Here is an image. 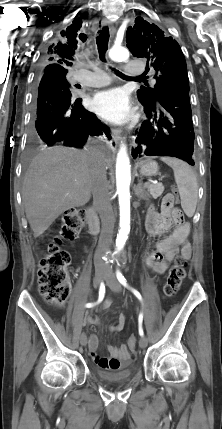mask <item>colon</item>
Wrapping results in <instances>:
<instances>
[{
  "instance_id": "5ec220e1",
  "label": "colon",
  "mask_w": 222,
  "mask_h": 429,
  "mask_svg": "<svg viewBox=\"0 0 222 429\" xmlns=\"http://www.w3.org/2000/svg\"><path fill=\"white\" fill-rule=\"evenodd\" d=\"M178 202L177 194H167L162 204L171 206ZM86 222V213L82 209L67 210L62 217L59 237L49 244L48 253L39 262L38 283L39 292L44 300L55 306L65 304L71 294L68 276L70 255L60 248L62 240H73L81 232ZM187 261L182 256L177 257L170 267L163 292L166 297L177 294L186 276ZM137 344L135 335L128 338V346L134 349Z\"/></svg>"
}]
</instances>
